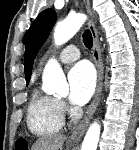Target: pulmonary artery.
Instances as JSON below:
<instances>
[{
    "label": "pulmonary artery",
    "mask_w": 139,
    "mask_h": 150,
    "mask_svg": "<svg viewBox=\"0 0 139 150\" xmlns=\"http://www.w3.org/2000/svg\"><path fill=\"white\" fill-rule=\"evenodd\" d=\"M80 57V51L75 45H68L59 54V60L64 63H70Z\"/></svg>",
    "instance_id": "1"
}]
</instances>
